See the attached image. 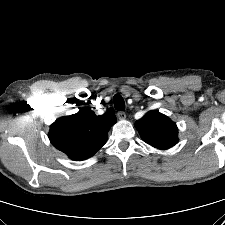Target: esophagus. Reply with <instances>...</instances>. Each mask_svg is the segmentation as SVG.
<instances>
[{
    "label": "esophagus",
    "instance_id": "1",
    "mask_svg": "<svg viewBox=\"0 0 225 225\" xmlns=\"http://www.w3.org/2000/svg\"><path fill=\"white\" fill-rule=\"evenodd\" d=\"M117 117H118V119H120V120H125V119H126V114H125L124 112H122V111H119V112L117 113Z\"/></svg>",
    "mask_w": 225,
    "mask_h": 225
}]
</instances>
